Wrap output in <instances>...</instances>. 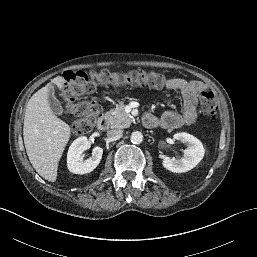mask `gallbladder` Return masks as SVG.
<instances>
[{"mask_svg":"<svg viewBox=\"0 0 257 257\" xmlns=\"http://www.w3.org/2000/svg\"><path fill=\"white\" fill-rule=\"evenodd\" d=\"M48 102L52 112L56 115L62 116L64 114L63 107L59 100L54 95V89L51 87L48 92Z\"/></svg>","mask_w":257,"mask_h":257,"instance_id":"obj_1","label":"gallbladder"}]
</instances>
